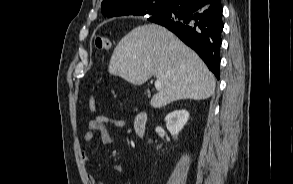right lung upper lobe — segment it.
<instances>
[{
	"label": "right lung upper lobe",
	"instance_id": "right-lung-upper-lobe-1",
	"mask_svg": "<svg viewBox=\"0 0 293 184\" xmlns=\"http://www.w3.org/2000/svg\"><path fill=\"white\" fill-rule=\"evenodd\" d=\"M171 1L172 0H103L101 8L103 15L108 18L124 15H142L141 13L145 10L159 7V12L163 13L166 7L170 5ZM201 1L204 2V6H209L217 0ZM149 19L150 18H148V20Z\"/></svg>",
	"mask_w": 293,
	"mask_h": 184
}]
</instances>
